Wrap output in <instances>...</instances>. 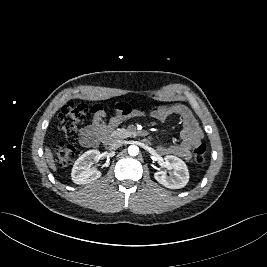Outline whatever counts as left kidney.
I'll use <instances>...</instances> for the list:
<instances>
[{
	"label": "left kidney",
	"mask_w": 267,
	"mask_h": 267,
	"mask_svg": "<svg viewBox=\"0 0 267 267\" xmlns=\"http://www.w3.org/2000/svg\"><path fill=\"white\" fill-rule=\"evenodd\" d=\"M165 166L173 171H158L154 173V178L169 189H180L186 186L189 181V171L187 165L180 158L167 155L164 158Z\"/></svg>",
	"instance_id": "5707ae66"
}]
</instances>
